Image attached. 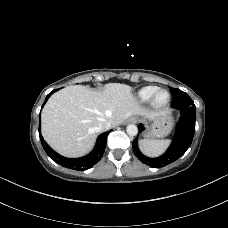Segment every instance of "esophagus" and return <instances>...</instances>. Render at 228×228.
I'll return each mask as SVG.
<instances>
[{"instance_id":"34e87169","label":"esophagus","mask_w":228,"mask_h":228,"mask_svg":"<svg viewBox=\"0 0 228 228\" xmlns=\"http://www.w3.org/2000/svg\"><path fill=\"white\" fill-rule=\"evenodd\" d=\"M127 122L136 123L137 120H136V118H129V119L127 120Z\"/></svg>"}]
</instances>
